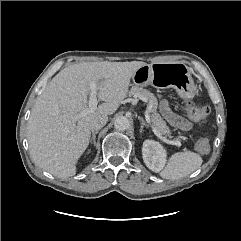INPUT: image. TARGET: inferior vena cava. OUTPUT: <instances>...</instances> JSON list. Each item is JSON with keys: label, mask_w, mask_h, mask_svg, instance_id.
<instances>
[{"label": "inferior vena cava", "mask_w": 241, "mask_h": 241, "mask_svg": "<svg viewBox=\"0 0 241 241\" xmlns=\"http://www.w3.org/2000/svg\"><path fill=\"white\" fill-rule=\"evenodd\" d=\"M108 121V116L107 115H99L97 117H95L91 123H90V128L91 130L94 131H98L100 130L103 126L106 125Z\"/></svg>", "instance_id": "602c4592"}]
</instances>
